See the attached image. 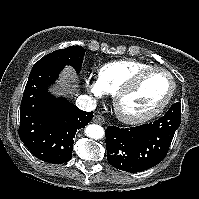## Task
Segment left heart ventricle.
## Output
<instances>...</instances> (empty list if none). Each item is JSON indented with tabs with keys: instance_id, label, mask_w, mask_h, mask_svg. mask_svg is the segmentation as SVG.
Returning a JSON list of instances; mask_svg holds the SVG:
<instances>
[{
	"instance_id": "left-heart-ventricle-1",
	"label": "left heart ventricle",
	"mask_w": 199,
	"mask_h": 199,
	"mask_svg": "<svg viewBox=\"0 0 199 199\" xmlns=\"http://www.w3.org/2000/svg\"><path fill=\"white\" fill-rule=\"evenodd\" d=\"M170 86V79L164 73H150L141 79L133 92L121 100V108L129 115L147 113L163 101Z\"/></svg>"
}]
</instances>
